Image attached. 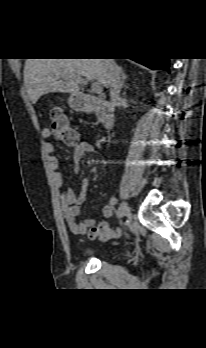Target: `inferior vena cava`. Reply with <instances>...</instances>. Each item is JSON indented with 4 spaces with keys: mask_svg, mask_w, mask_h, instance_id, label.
I'll return each mask as SVG.
<instances>
[{
    "mask_svg": "<svg viewBox=\"0 0 206 348\" xmlns=\"http://www.w3.org/2000/svg\"><path fill=\"white\" fill-rule=\"evenodd\" d=\"M108 74H109V88L112 105L118 106L121 102V69L116 65L113 59H107Z\"/></svg>",
    "mask_w": 206,
    "mask_h": 348,
    "instance_id": "obj_1",
    "label": "inferior vena cava"
}]
</instances>
